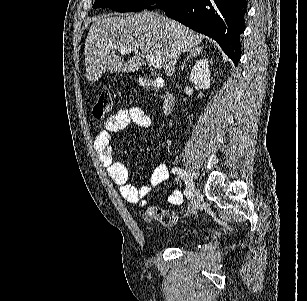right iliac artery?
Here are the masks:
<instances>
[{
    "label": "right iliac artery",
    "instance_id": "right-iliac-artery-1",
    "mask_svg": "<svg viewBox=\"0 0 307 301\" xmlns=\"http://www.w3.org/2000/svg\"><path fill=\"white\" fill-rule=\"evenodd\" d=\"M172 172L174 174H177L179 177H181L183 180H185L186 182V190L184 191V194L186 195L187 199H190L192 196V191L188 190L187 187V178H188V174L186 173V171L182 168L179 167H174L172 168Z\"/></svg>",
    "mask_w": 307,
    "mask_h": 301
}]
</instances>
